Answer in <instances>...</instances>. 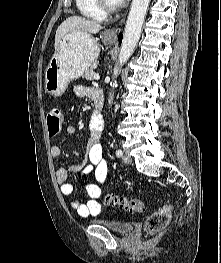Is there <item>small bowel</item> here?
Listing matches in <instances>:
<instances>
[{
	"mask_svg": "<svg viewBox=\"0 0 221 263\" xmlns=\"http://www.w3.org/2000/svg\"><path fill=\"white\" fill-rule=\"evenodd\" d=\"M74 92L77 96L81 97H93L97 92L102 93L99 89H88L84 86H76ZM90 136L86 146V153L84 159L77 164H72L69 167L61 166L56 171V180L60 186L62 195L71 197L70 206L74 208L80 216L97 215L101 211V204L99 199L101 198V185H103L107 178L108 165L103 154V148L101 143L102 128H97L93 121L90 124ZM64 131L68 135H73L76 132V128L73 125H66ZM52 157L60 161L61 149L57 145H53L50 149ZM79 170L81 174V185L85 190L88 201L82 203L77 197H73V186L67 180L70 172ZM90 173L94 174L96 183H89L86 176Z\"/></svg>",
	"mask_w": 221,
	"mask_h": 263,
	"instance_id": "c3829d8e",
	"label": "small bowel"
}]
</instances>
